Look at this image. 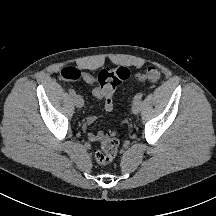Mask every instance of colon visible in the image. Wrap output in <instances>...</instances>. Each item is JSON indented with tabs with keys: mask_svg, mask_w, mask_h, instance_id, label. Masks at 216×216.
Returning a JSON list of instances; mask_svg holds the SVG:
<instances>
[{
	"mask_svg": "<svg viewBox=\"0 0 216 216\" xmlns=\"http://www.w3.org/2000/svg\"><path fill=\"white\" fill-rule=\"evenodd\" d=\"M130 70L126 67L107 68L98 75V83L106 95V104L112 107V94L115 89L130 77ZM80 76V71L74 67H65L61 71V77L65 80H76ZM161 72L155 66H150L142 74L137 75L139 81H158ZM100 149L95 154L98 164L105 165L110 163L116 156L119 147V140L114 130L108 129L100 134Z\"/></svg>",
	"mask_w": 216,
	"mask_h": 216,
	"instance_id": "colon-1",
	"label": "colon"
}]
</instances>
